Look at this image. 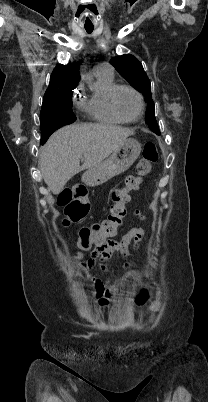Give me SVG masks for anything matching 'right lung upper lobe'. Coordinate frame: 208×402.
<instances>
[{"mask_svg":"<svg viewBox=\"0 0 208 402\" xmlns=\"http://www.w3.org/2000/svg\"><path fill=\"white\" fill-rule=\"evenodd\" d=\"M79 81V67L76 62L67 65L59 64L51 74L44 97L54 92L75 88Z\"/></svg>","mask_w":208,"mask_h":402,"instance_id":"1","label":"right lung upper lobe"}]
</instances>
